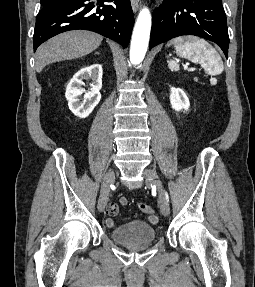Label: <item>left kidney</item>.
Masks as SVG:
<instances>
[{"instance_id":"5707ae66","label":"left kidney","mask_w":255,"mask_h":287,"mask_svg":"<svg viewBox=\"0 0 255 287\" xmlns=\"http://www.w3.org/2000/svg\"><path fill=\"white\" fill-rule=\"evenodd\" d=\"M170 104L175 112L188 110L190 102L183 90L180 88H170Z\"/></svg>"}]
</instances>
